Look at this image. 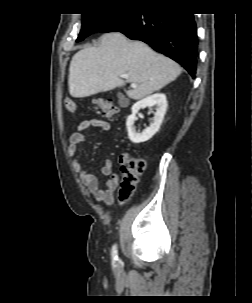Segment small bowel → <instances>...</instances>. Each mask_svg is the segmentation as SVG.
I'll use <instances>...</instances> for the list:
<instances>
[{
	"label": "small bowel",
	"mask_w": 252,
	"mask_h": 303,
	"mask_svg": "<svg viewBox=\"0 0 252 303\" xmlns=\"http://www.w3.org/2000/svg\"><path fill=\"white\" fill-rule=\"evenodd\" d=\"M90 128L109 131L111 129V125L105 119L88 118L82 120L69 138L67 146L68 155L71 159L73 170L78 174L80 181L92 194L94 199L105 204H111L114 199V193L120 182L118 174L114 173L112 170L111 160L106 159L101 165V173L109 177L105 186L101 187L96 176L87 171L83 163L77 157L79 145L86 140L85 131Z\"/></svg>",
	"instance_id": "obj_1"
}]
</instances>
